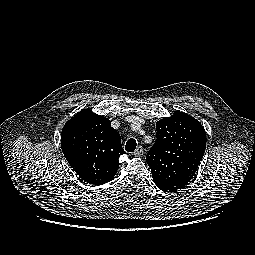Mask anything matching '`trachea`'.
I'll list each match as a JSON object with an SVG mask.
<instances>
[{
    "instance_id": "1",
    "label": "trachea",
    "mask_w": 255,
    "mask_h": 255,
    "mask_svg": "<svg viewBox=\"0 0 255 255\" xmlns=\"http://www.w3.org/2000/svg\"><path fill=\"white\" fill-rule=\"evenodd\" d=\"M136 140L135 139H129L126 143V146H125V150L127 152H134V150L136 149Z\"/></svg>"
}]
</instances>
